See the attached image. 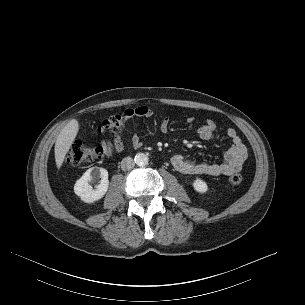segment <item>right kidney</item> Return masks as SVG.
I'll return each instance as SVG.
<instances>
[{
  "mask_svg": "<svg viewBox=\"0 0 305 305\" xmlns=\"http://www.w3.org/2000/svg\"><path fill=\"white\" fill-rule=\"evenodd\" d=\"M99 181L93 188L90 182ZM109 187L108 171L100 167L88 169L74 185L75 194L86 203H93L100 200L107 192Z\"/></svg>",
  "mask_w": 305,
  "mask_h": 305,
  "instance_id": "right-kidney-1",
  "label": "right kidney"
}]
</instances>
